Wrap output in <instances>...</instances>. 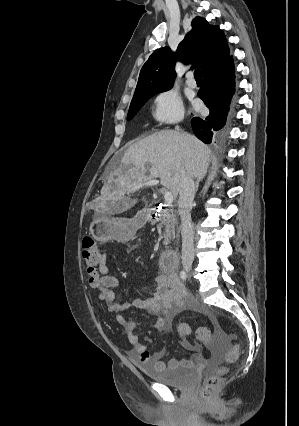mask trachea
Here are the masks:
<instances>
[{
	"instance_id": "obj_1",
	"label": "trachea",
	"mask_w": 299,
	"mask_h": 426,
	"mask_svg": "<svg viewBox=\"0 0 299 426\" xmlns=\"http://www.w3.org/2000/svg\"><path fill=\"white\" fill-rule=\"evenodd\" d=\"M194 77L196 80H201V73H200V69H196L194 72Z\"/></svg>"
}]
</instances>
